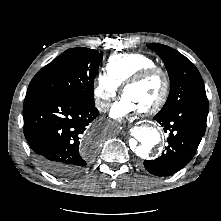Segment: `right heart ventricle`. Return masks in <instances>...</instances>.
Masks as SVG:
<instances>
[{
	"label": "right heart ventricle",
	"mask_w": 221,
	"mask_h": 221,
	"mask_svg": "<svg viewBox=\"0 0 221 221\" xmlns=\"http://www.w3.org/2000/svg\"><path fill=\"white\" fill-rule=\"evenodd\" d=\"M156 61L140 52L116 54L109 58L106 70L120 86L142 69L156 66Z\"/></svg>",
	"instance_id": "1"
}]
</instances>
